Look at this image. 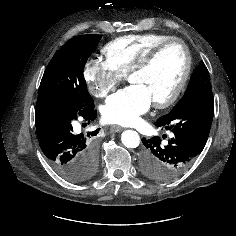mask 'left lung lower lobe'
<instances>
[{
	"mask_svg": "<svg viewBox=\"0 0 236 236\" xmlns=\"http://www.w3.org/2000/svg\"><path fill=\"white\" fill-rule=\"evenodd\" d=\"M214 99L206 90L189 101L179 111L159 118L155 125L170 130L173 135L163 144L158 136L143 138L141 157L143 174L158 182L179 176L202 152L211 128Z\"/></svg>",
	"mask_w": 236,
	"mask_h": 236,
	"instance_id": "obj_1",
	"label": "left lung lower lobe"
}]
</instances>
